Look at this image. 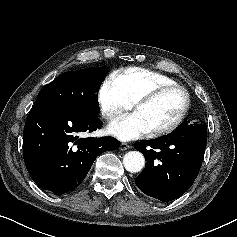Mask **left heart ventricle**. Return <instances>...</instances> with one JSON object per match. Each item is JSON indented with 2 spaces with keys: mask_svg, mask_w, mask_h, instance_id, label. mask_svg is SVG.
<instances>
[{
  "mask_svg": "<svg viewBox=\"0 0 237 237\" xmlns=\"http://www.w3.org/2000/svg\"><path fill=\"white\" fill-rule=\"evenodd\" d=\"M183 105V93L180 90H170L151 103L133 108V112L141 117L149 131H153L169 125Z\"/></svg>",
  "mask_w": 237,
  "mask_h": 237,
  "instance_id": "left-heart-ventricle-1",
  "label": "left heart ventricle"
}]
</instances>
